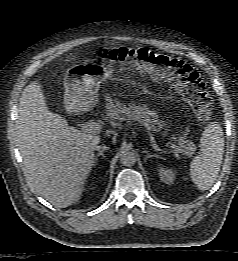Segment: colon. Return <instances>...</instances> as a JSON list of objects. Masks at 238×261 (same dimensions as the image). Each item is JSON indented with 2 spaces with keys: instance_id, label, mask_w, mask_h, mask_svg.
<instances>
[{
  "instance_id": "5ec220e1",
  "label": "colon",
  "mask_w": 238,
  "mask_h": 261,
  "mask_svg": "<svg viewBox=\"0 0 238 261\" xmlns=\"http://www.w3.org/2000/svg\"><path fill=\"white\" fill-rule=\"evenodd\" d=\"M101 56L105 61L132 67L171 82L199 120L207 121L211 118L212 99L205 83L199 73L185 61L145 48H106Z\"/></svg>"
}]
</instances>
